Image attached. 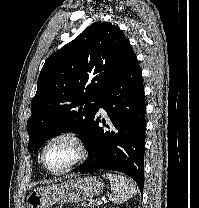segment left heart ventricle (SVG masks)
Listing matches in <instances>:
<instances>
[{"label": "left heart ventricle", "instance_id": "b2bd125f", "mask_svg": "<svg viewBox=\"0 0 199 208\" xmlns=\"http://www.w3.org/2000/svg\"><path fill=\"white\" fill-rule=\"evenodd\" d=\"M78 155L76 145L70 140H57L51 143L45 152L47 165L59 169L73 162Z\"/></svg>", "mask_w": 199, "mask_h": 208}]
</instances>
